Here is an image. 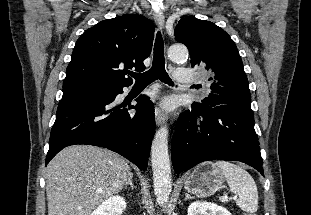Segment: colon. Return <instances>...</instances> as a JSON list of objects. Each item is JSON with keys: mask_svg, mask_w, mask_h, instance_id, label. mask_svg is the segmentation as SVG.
Returning a JSON list of instances; mask_svg holds the SVG:
<instances>
[{"mask_svg": "<svg viewBox=\"0 0 311 215\" xmlns=\"http://www.w3.org/2000/svg\"><path fill=\"white\" fill-rule=\"evenodd\" d=\"M245 215H256V214H245Z\"/></svg>", "mask_w": 311, "mask_h": 215, "instance_id": "1", "label": "colon"}]
</instances>
